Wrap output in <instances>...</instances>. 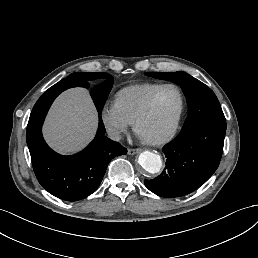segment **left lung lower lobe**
Returning <instances> with one entry per match:
<instances>
[{
  "label": "left lung lower lobe",
  "instance_id": "obj_1",
  "mask_svg": "<svg viewBox=\"0 0 258 258\" xmlns=\"http://www.w3.org/2000/svg\"><path fill=\"white\" fill-rule=\"evenodd\" d=\"M225 130L203 126L178 135L163 147L167 158L163 172L152 180H144L145 186L167 198L182 197L197 190L219 166Z\"/></svg>",
  "mask_w": 258,
  "mask_h": 258
}]
</instances>
